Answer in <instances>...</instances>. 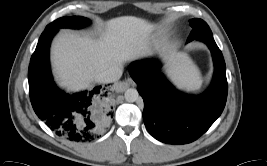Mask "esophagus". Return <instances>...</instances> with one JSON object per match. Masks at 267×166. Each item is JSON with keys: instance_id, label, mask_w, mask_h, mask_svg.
Returning a JSON list of instances; mask_svg holds the SVG:
<instances>
[{"instance_id": "34e87169", "label": "esophagus", "mask_w": 267, "mask_h": 166, "mask_svg": "<svg viewBox=\"0 0 267 166\" xmlns=\"http://www.w3.org/2000/svg\"><path fill=\"white\" fill-rule=\"evenodd\" d=\"M130 86L134 87V86H136V83L132 79L129 78L125 82L120 83L118 85L117 89H118V91H123V90L129 88Z\"/></svg>"}]
</instances>
